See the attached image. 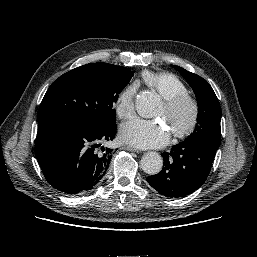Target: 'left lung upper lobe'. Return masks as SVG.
I'll return each mask as SVG.
<instances>
[{
    "label": "left lung upper lobe",
    "mask_w": 257,
    "mask_h": 257,
    "mask_svg": "<svg viewBox=\"0 0 257 257\" xmlns=\"http://www.w3.org/2000/svg\"><path fill=\"white\" fill-rule=\"evenodd\" d=\"M192 87L198 103V117L194 132L186 140H206L220 145L221 108L218 98L202 77L182 67L172 65Z\"/></svg>",
    "instance_id": "5c2ea615"
}]
</instances>
